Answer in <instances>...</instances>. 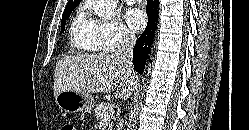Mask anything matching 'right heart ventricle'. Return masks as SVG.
Wrapping results in <instances>:
<instances>
[{
    "label": "right heart ventricle",
    "mask_w": 249,
    "mask_h": 130,
    "mask_svg": "<svg viewBox=\"0 0 249 130\" xmlns=\"http://www.w3.org/2000/svg\"><path fill=\"white\" fill-rule=\"evenodd\" d=\"M69 41L79 52L103 51L98 22L89 17L86 8H81L74 16L69 29Z\"/></svg>",
    "instance_id": "1"
}]
</instances>
